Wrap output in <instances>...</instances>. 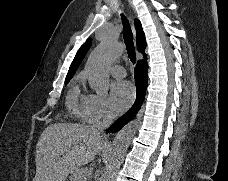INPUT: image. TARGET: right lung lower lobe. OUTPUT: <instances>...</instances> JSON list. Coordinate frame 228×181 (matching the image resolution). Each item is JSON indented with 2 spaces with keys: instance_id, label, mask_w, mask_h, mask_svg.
<instances>
[{
  "instance_id": "98d812e1",
  "label": "right lung lower lobe",
  "mask_w": 228,
  "mask_h": 181,
  "mask_svg": "<svg viewBox=\"0 0 228 181\" xmlns=\"http://www.w3.org/2000/svg\"><path fill=\"white\" fill-rule=\"evenodd\" d=\"M147 71H148L147 57L146 55H144V58L138 61V64L134 70L135 84L137 88L136 102L126 114H124L122 117H120L113 123V125L107 130V132L108 131L115 132L120 130L125 124H127L129 121L133 119L135 114L140 109L145 97V91L147 87V81H148Z\"/></svg>"
}]
</instances>
